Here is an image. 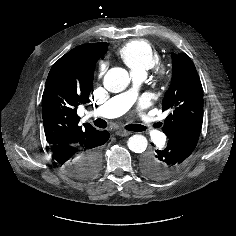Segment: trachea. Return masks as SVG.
<instances>
[{
  "label": "trachea",
  "instance_id": "trachea-1",
  "mask_svg": "<svg viewBox=\"0 0 236 236\" xmlns=\"http://www.w3.org/2000/svg\"><path fill=\"white\" fill-rule=\"evenodd\" d=\"M94 125L99 128H106L107 122L103 119L98 118L94 121ZM125 129H127L129 131H134V132L144 131V128L141 125H135V124L125 126Z\"/></svg>",
  "mask_w": 236,
  "mask_h": 236
}]
</instances>
